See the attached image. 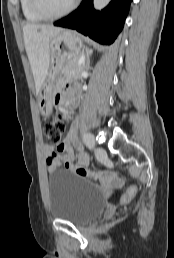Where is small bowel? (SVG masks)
I'll use <instances>...</instances> for the list:
<instances>
[{
  "label": "small bowel",
  "instance_id": "small-bowel-1",
  "mask_svg": "<svg viewBox=\"0 0 174 258\" xmlns=\"http://www.w3.org/2000/svg\"><path fill=\"white\" fill-rule=\"evenodd\" d=\"M73 88L60 91L56 97V103L63 105V100L75 96ZM67 116L70 113H66ZM78 121L75 119L71 123L67 137L55 147L51 144L44 145L45 161L49 172L57 170L61 165L77 175L84 176L85 179H101V184H126V179H115L110 171H87L88 156L82 150L78 141ZM114 176H119V171L113 172Z\"/></svg>",
  "mask_w": 174,
  "mask_h": 258
}]
</instances>
